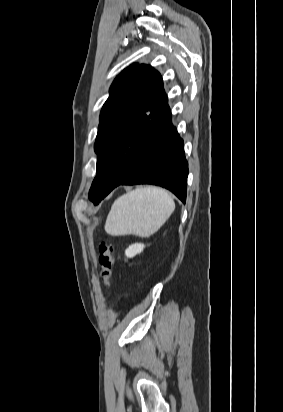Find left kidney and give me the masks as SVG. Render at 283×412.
Wrapping results in <instances>:
<instances>
[{"label": "left kidney", "instance_id": "left-kidney-1", "mask_svg": "<svg viewBox=\"0 0 283 412\" xmlns=\"http://www.w3.org/2000/svg\"><path fill=\"white\" fill-rule=\"evenodd\" d=\"M144 247V244L141 243L132 244L125 250V255L127 258H132L135 255L140 254Z\"/></svg>", "mask_w": 283, "mask_h": 412}]
</instances>
